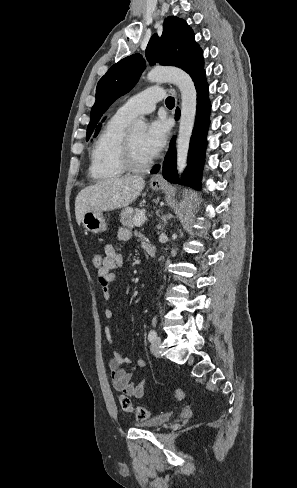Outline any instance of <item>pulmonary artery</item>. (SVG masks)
Returning a JSON list of instances; mask_svg holds the SVG:
<instances>
[{
    "instance_id": "e3ab8cb5",
    "label": "pulmonary artery",
    "mask_w": 297,
    "mask_h": 488,
    "mask_svg": "<svg viewBox=\"0 0 297 488\" xmlns=\"http://www.w3.org/2000/svg\"><path fill=\"white\" fill-rule=\"evenodd\" d=\"M164 96L161 87H150L132 97H130L119 109L116 114L127 120H132L138 115L148 114L154 111L156 103Z\"/></svg>"
}]
</instances>
